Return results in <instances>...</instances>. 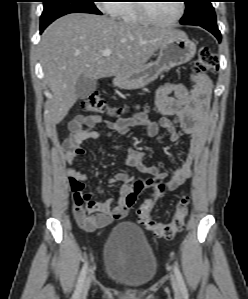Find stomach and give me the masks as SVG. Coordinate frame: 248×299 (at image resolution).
Returning a JSON list of instances; mask_svg holds the SVG:
<instances>
[{
	"mask_svg": "<svg viewBox=\"0 0 248 299\" xmlns=\"http://www.w3.org/2000/svg\"><path fill=\"white\" fill-rule=\"evenodd\" d=\"M196 53V45L183 32L171 36L159 49L156 61L137 70L116 76L114 85L122 89L143 88L154 81L162 72L187 63Z\"/></svg>",
	"mask_w": 248,
	"mask_h": 299,
	"instance_id": "0dacf381",
	"label": "stomach"
}]
</instances>
